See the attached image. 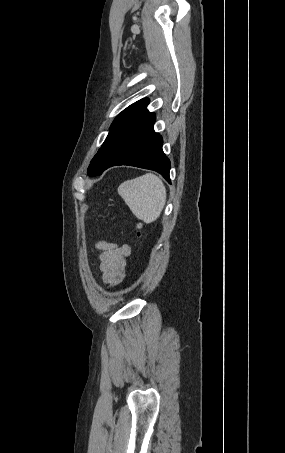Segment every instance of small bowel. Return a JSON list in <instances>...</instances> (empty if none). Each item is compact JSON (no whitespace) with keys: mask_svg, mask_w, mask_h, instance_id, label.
<instances>
[{"mask_svg":"<svg viewBox=\"0 0 285 453\" xmlns=\"http://www.w3.org/2000/svg\"><path fill=\"white\" fill-rule=\"evenodd\" d=\"M96 248L101 251L99 269L102 280L108 286H115L122 282L126 273V257L131 249L128 245L118 246L105 241H99Z\"/></svg>","mask_w":285,"mask_h":453,"instance_id":"1","label":"small bowel"}]
</instances>
